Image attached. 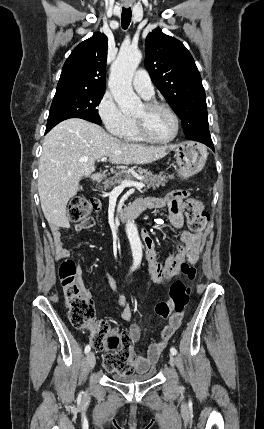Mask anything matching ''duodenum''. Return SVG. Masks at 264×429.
I'll return each instance as SVG.
<instances>
[{"label": "duodenum", "mask_w": 264, "mask_h": 429, "mask_svg": "<svg viewBox=\"0 0 264 429\" xmlns=\"http://www.w3.org/2000/svg\"><path fill=\"white\" fill-rule=\"evenodd\" d=\"M102 179V175L99 173H94L91 175L92 181H99ZM146 210V206L142 203H135L127 208L124 212L117 215L116 219L118 220H126L130 218L137 217L141 215Z\"/></svg>", "instance_id": "1"}]
</instances>
